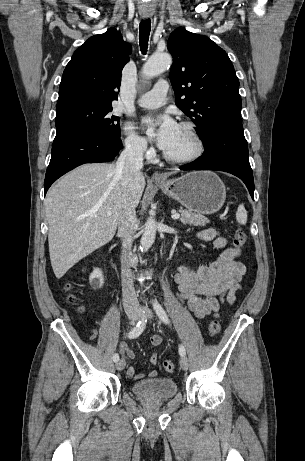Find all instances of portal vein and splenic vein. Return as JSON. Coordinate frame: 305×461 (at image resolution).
Here are the masks:
<instances>
[{"mask_svg": "<svg viewBox=\"0 0 305 461\" xmlns=\"http://www.w3.org/2000/svg\"><path fill=\"white\" fill-rule=\"evenodd\" d=\"M110 214H111V213H108V215H110ZM171 217H172V219H175V220H176V219H179V218H180V214H178V213H173Z\"/></svg>", "mask_w": 305, "mask_h": 461, "instance_id": "18ae733b", "label": "portal vein and splenic vein"}]
</instances>
